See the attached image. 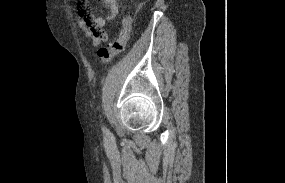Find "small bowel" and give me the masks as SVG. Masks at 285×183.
<instances>
[{
	"label": "small bowel",
	"instance_id": "1",
	"mask_svg": "<svg viewBox=\"0 0 285 183\" xmlns=\"http://www.w3.org/2000/svg\"><path fill=\"white\" fill-rule=\"evenodd\" d=\"M108 8L107 16H95L87 6L81 2L78 9V27L84 32V35L91 39L94 47H98L108 42L109 36L104 31L108 22L116 19L120 13V7L117 0H102Z\"/></svg>",
	"mask_w": 285,
	"mask_h": 183
}]
</instances>
